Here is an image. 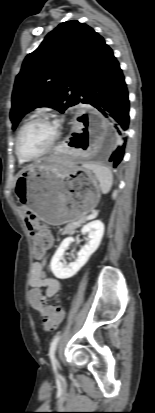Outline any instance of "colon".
<instances>
[{"label":"colon","instance_id":"5ec220e1","mask_svg":"<svg viewBox=\"0 0 155 413\" xmlns=\"http://www.w3.org/2000/svg\"><path fill=\"white\" fill-rule=\"evenodd\" d=\"M35 236L34 255L38 260L44 258L47 248V238L41 234V231H31ZM42 273L48 272L47 266L41 267ZM30 303L33 307L38 308L43 319V330L45 332L54 331L61 323L64 317L63 310L56 306H45V300L37 293H31L29 296Z\"/></svg>","mask_w":155,"mask_h":413}]
</instances>
